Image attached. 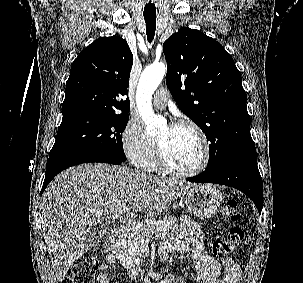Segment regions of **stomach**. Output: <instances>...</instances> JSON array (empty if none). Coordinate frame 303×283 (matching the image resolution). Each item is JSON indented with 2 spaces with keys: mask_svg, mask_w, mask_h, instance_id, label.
<instances>
[{
  "mask_svg": "<svg viewBox=\"0 0 303 283\" xmlns=\"http://www.w3.org/2000/svg\"><path fill=\"white\" fill-rule=\"evenodd\" d=\"M222 201V193L209 185H197L186 191V207L193 216L200 219L213 217Z\"/></svg>",
  "mask_w": 303,
  "mask_h": 283,
  "instance_id": "0dacf381",
  "label": "stomach"
}]
</instances>
